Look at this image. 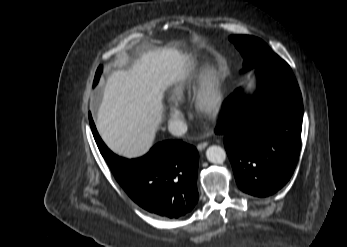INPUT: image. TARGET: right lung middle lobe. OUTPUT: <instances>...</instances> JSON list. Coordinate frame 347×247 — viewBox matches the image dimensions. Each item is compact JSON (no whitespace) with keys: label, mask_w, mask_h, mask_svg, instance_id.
<instances>
[{"label":"right lung middle lobe","mask_w":347,"mask_h":247,"mask_svg":"<svg viewBox=\"0 0 347 247\" xmlns=\"http://www.w3.org/2000/svg\"><path fill=\"white\" fill-rule=\"evenodd\" d=\"M102 70V69H101ZM101 73V72H100ZM98 82V80H96L95 82H94V85H96V83Z\"/></svg>","instance_id":"right-lung-middle-lobe-1"}]
</instances>
